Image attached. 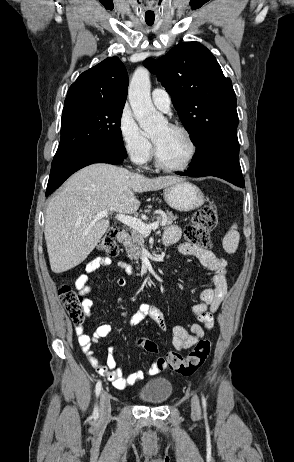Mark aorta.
<instances>
[{"label": "aorta", "instance_id": "762f6f07", "mask_svg": "<svg viewBox=\"0 0 294 462\" xmlns=\"http://www.w3.org/2000/svg\"><path fill=\"white\" fill-rule=\"evenodd\" d=\"M150 88L149 71L142 67L136 69L129 84L128 98L140 128L147 134L157 130L163 123L162 116L152 104Z\"/></svg>", "mask_w": 294, "mask_h": 462}]
</instances>
